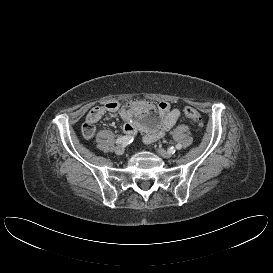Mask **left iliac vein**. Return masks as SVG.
Wrapping results in <instances>:
<instances>
[{
	"label": "left iliac vein",
	"instance_id": "obj_1",
	"mask_svg": "<svg viewBox=\"0 0 273 273\" xmlns=\"http://www.w3.org/2000/svg\"><path fill=\"white\" fill-rule=\"evenodd\" d=\"M157 153L164 158H170L172 156V153H170L169 151H166L162 148H158Z\"/></svg>",
	"mask_w": 273,
	"mask_h": 273
}]
</instances>
